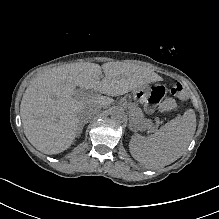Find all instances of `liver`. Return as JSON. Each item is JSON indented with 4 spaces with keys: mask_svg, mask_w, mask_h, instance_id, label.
<instances>
[{
    "mask_svg": "<svg viewBox=\"0 0 219 219\" xmlns=\"http://www.w3.org/2000/svg\"><path fill=\"white\" fill-rule=\"evenodd\" d=\"M66 64L41 72L24 92L20 115L29 142L46 154H57L74 142L81 117L91 119L107 105L101 94L118 96L150 81L147 69L135 64ZM85 98H76V87ZM74 96V97H73Z\"/></svg>",
    "mask_w": 219,
    "mask_h": 219,
    "instance_id": "6515ba94",
    "label": "liver"
}]
</instances>
